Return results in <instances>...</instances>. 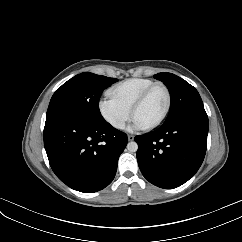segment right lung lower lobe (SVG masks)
<instances>
[{"label": "right lung lower lobe", "mask_w": 242, "mask_h": 242, "mask_svg": "<svg viewBox=\"0 0 242 242\" xmlns=\"http://www.w3.org/2000/svg\"><path fill=\"white\" fill-rule=\"evenodd\" d=\"M127 135L106 121L58 117L46 121L44 146L50 166L70 188L93 193L108 186Z\"/></svg>", "instance_id": "98d812e1"}]
</instances>
